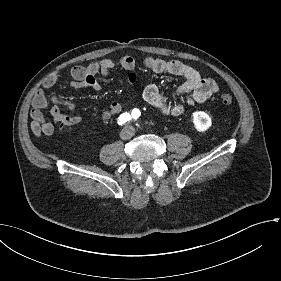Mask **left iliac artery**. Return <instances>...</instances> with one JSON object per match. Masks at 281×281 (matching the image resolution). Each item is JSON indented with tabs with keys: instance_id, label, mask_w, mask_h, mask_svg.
Instances as JSON below:
<instances>
[{
	"instance_id": "44dca946",
	"label": "left iliac artery",
	"mask_w": 281,
	"mask_h": 281,
	"mask_svg": "<svg viewBox=\"0 0 281 281\" xmlns=\"http://www.w3.org/2000/svg\"><path fill=\"white\" fill-rule=\"evenodd\" d=\"M140 116V111L138 109H133L132 111V117L134 119H137Z\"/></svg>"
}]
</instances>
